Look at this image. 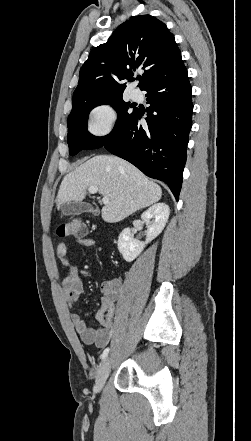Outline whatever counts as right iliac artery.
Returning a JSON list of instances; mask_svg holds the SVG:
<instances>
[{
	"instance_id": "obj_1",
	"label": "right iliac artery",
	"mask_w": 251,
	"mask_h": 441,
	"mask_svg": "<svg viewBox=\"0 0 251 441\" xmlns=\"http://www.w3.org/2000/svg\"><path fill=\"white\" fill-rule=\"evenodd\" d=\"M108 353H109V348H106L101 355V359L104 360L107 357Z\"/></svg>"
}]
</instances>
